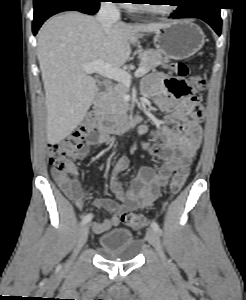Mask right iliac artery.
<instances>
[{
	"label": "right iliac artery",
	"instance_id": "82829eb1",
	"mask_svg": "<svg viewBox=\"0 0 246 300\" xmlns=\"http://www.w3.org/2000/svg\"><path fill=\"white\" fill-rule=\"evenodd\" d=\"M93 218L92 214H87L86 216H84L83 220H82V224H86L88 222H90Z\"/></svg>",
	"mask_w": 246,
	"mask_h": 300
}]
</instances>
